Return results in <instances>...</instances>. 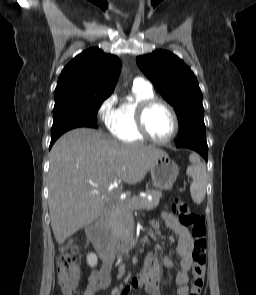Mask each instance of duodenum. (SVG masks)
<instances>
[{
  "label": "duodenum",
  "mask_w": 256,
  "mask_h": 295,
  "mask_svg": "<svg viewBox=\"0 0 256 295\" xmlns=\"http://www.w3.org/2000/svg\"><path fill=\"white\" fill-rule=\"evenodd\" d=\"M109 219L108 212L104 211L87 228V236L99 251L105 263L113 262L119 254H124L132 250L139 244V237L132 234L120 244H112L107 237L106 225Z\"/></svg>",
  "instance_id": "1"
}]
</instances>
